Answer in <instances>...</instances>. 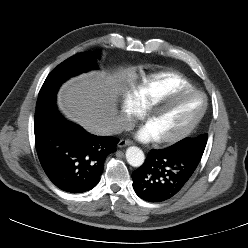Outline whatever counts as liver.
I'll list each match as a JSON object with an SVG mask.
<instances>
[{
	"label": "liver",
	"instance_id": "liver-1",
	"mask_svg": "<svg viewBox=\"0 0 248 248\" xmlns=\"http://www.w3.org/2000/svg\"><path fill=\"white\" fill-rule=\"evenodd\" d=\"M128 73L94 71L70 79L58 93L60 110L88 132L106 135L117 117L116 95Z\"/></svg>",
	"mask_w": 248,
	"mask_h": 248
}]
</instances>
